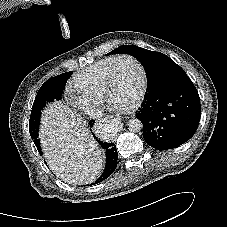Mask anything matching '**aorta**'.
<instances>
[{"instance_id": "762f6f07", "label": "aorta", "mask_w": 227, "mask_h": 227, "mask_svg": "<svg viewBox=\"0 0 227 227\" xmlns=\"http://www.w3.org/2000/svg\"><path fill=\"white\" fill-rule=\"evenodd\" d=\"M127 126L129 131L131 132H139L143 128L142 122L137 118H132L127 122ZM107 132H114L116 125L114 121H107L105 124Z\"/></svg>"}]
</instances>
